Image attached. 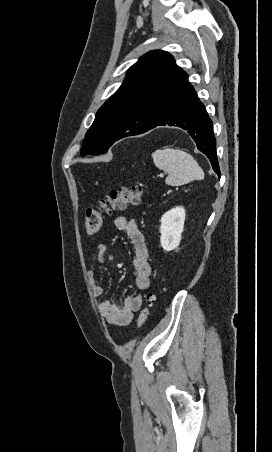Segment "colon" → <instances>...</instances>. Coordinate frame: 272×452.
<instances>
[{"mask_svg": "<svg viewBox=\"0 0 272 452\" xmlns=\"http://www.w3.org/2000/svg\"><path fill=\"white\" fill-rule=\"evenodd\" d=\"M143 190L140 185L133 184L128 187H121L113 190L108 196L102 199L96 206L87 210L85 218V228L89 234L97 233L106 215H111L114 211L123 210L128 205H138L141 203ZM155 301V295H147V304L141 310L137 325L143 327L150 315V307Z\"/></svg>", "mask_w": 272, "mask_h": 452, "instance_id": "colon-1", "label": "colon"}]
</instances>
